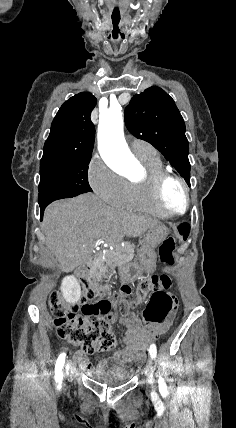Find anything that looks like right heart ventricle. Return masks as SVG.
<instances>
[{
    "label": "right heart ventricle",
    "instance_id": "right-heart-ventricle-1",
    "mask_svg": "<svg viewBox=\"0 0 236 428\" xmlns=\"http://www.w3.org/2000/svg\"><path fill=\"white\" fill-rule=\"evenodd\" d=\"M135 156L143 164L145 174L137 180L128 182L127 193L122 207L140 211L160 219L170 218V215L164 213L156 206L150 190L151 178L165 170L160 159L155 152L152 155Z\"/></svg>",
    "mask_w": 236,
    "mask_h": 428
}]
</instances>
